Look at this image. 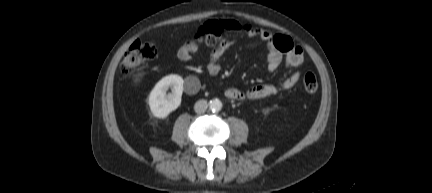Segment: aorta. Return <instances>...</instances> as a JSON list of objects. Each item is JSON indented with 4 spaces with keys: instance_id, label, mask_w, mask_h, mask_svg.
<instances>
[{
    "instance_id": "obj_1",
    "label": "aorta",
    "mask_w": 432,
    "mask_h": 193,
    "mask_svg": "<svg viewBox=\"0 0 432 193\" xmlns=\"http://www.w3.org/2000/svg\"><path fill=\"white\" fill-rule=\"evenodd\" d=\"M209 107L213 112H219L222 109V102L219 99H213L209 102Z\"/></svg>"
}]
</instances>
